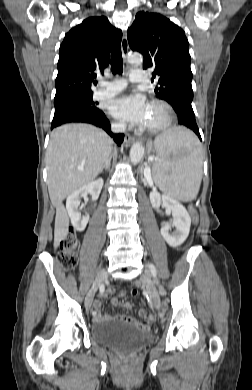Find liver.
Instances as JSON below:
<instances>
[{"label":"liver","mask_w":252,"mask_h":390,"mask_svg":"<svg viewBox=\"0 0 252 390\" xmlns=\"http://www.w3.org/2000/svg\"><path fill=\"white\" fill-rule=\"evenodd\" d=\"M112 143L104 131L89 124H67L52 131L46 167L49 196L56 207L54 248L68 235L63 200L97 177L110 158Z\"/></svg>","instance_id":"6515ba94"}]
</instances>
